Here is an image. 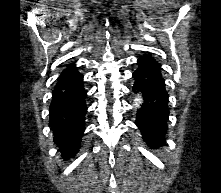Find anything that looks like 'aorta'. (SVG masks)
I'll list each match as a JSON object with an SVG mask.
<instances>
[{"label":"aorta","instance_id":"1","mask_svg":"<svg viewBox=\"0 0 221 193\" xmlns=\"http://www.w3.org/2000/svg\"><path fill=\"white\" fill-rule=\"evenodd\" d=\"M139 104H140V99H139V98H136V99H135V105L138 106Z\"/></svg>","mask_w":221,"mask_h":193}]
</instances>
